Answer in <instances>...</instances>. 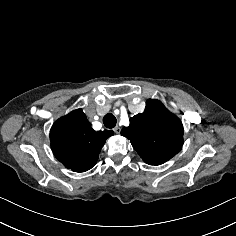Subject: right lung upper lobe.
I'll use <instances>...</instances> for the list:
<instances>
[{
	"label": "right lung upper lobe",
	"instance_id": "cb5924a9",
	"mask_svg": "<svg viewBox=\"0 0 236 236\" xmlns=\"http://www.w3.org/2000/svg\"><path fill=\"white\" fill-rule=\"evenodd\" d=\"M113 134L112 130L94 131L82 109H77L53 124L51 148L66 168L84 172L96 164L106 139Z\"/></svg>",
	"mask_w": 236,
	"mask_h": 236
}]
</instances>
